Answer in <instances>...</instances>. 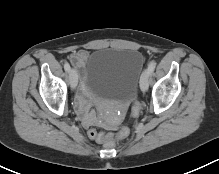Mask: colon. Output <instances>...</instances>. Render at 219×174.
<instances>
[{
  "label": "colon",
  "instance_id": "colon-1",
  "mask_svg": "<svg viewBox=\"0 0 219 174\" xmlns=\"http://www.w3.org/2000/svg\"><path fill=\"white\" fill-rule=\"evenodd\" d=\"M140 112H141V104L139 101L134 100L131 108V116L133 118H136L139 116ZM129 134H130V129L126 126L122 127L116 135H108L102 132H98L94 129H90L88 131V136L91 139L105 144L108 148H113L116 139H125L129 136Z\"/></svg>",
  "mask_w": 219,
  "mask_h": 174
}]
</instances>
